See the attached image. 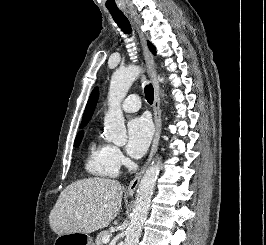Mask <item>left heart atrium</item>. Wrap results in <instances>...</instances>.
Returning a JSON list of instances; mask_svg holds the SVG:
<instances>
[{"mask_svg": "<svg viewBox=\"0 0 266 245\" xmlns=\"http://www.w3.org/2000/svg\"><path fill=\"white\" fill-rule=\"evenodd\" d=\"M153 135L151 121L145 117L132 119L127 125L126 152L133 158H138L146 151Z\"/></svg>", "mask_w": 266, "mask_h": 245, "instance_id": "obj_1", "label": "left heart atrium"}]
</instances>
